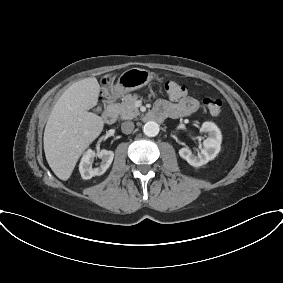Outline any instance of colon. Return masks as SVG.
Returning a JSON list of instances; mask_svg holds the SVG:
<instances>
[{
	"mask_svg": "<svg viewBox=\"0 0 283 283\" xmlns=\"http://www.w3.org/2000/svg\"><path fill=\"white\" fill-rule=\"evenodd\" d=\"M165 90L169 97L173 99L181 98L186 93V88L175 81H167L165 83ZM202 102L204 107L212 115H218L222 110V100L216 96H204Z\"/></svg>",
	"mask_w": 283,
	"mask_h": 283,
	"instance_id": "1",
	"label": "colon"
}]
</instances>
